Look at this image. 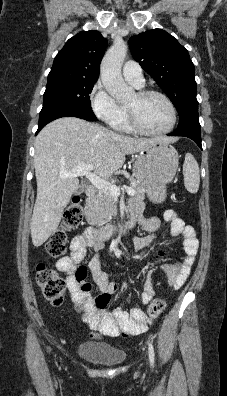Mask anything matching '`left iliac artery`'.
<instances>
[{
	"mask_svg": "<svg viewBox=\"0 0 227 396\" xmlns=\"http://www.w3.org/2000/svg\"><path fill=\"white\" fill-rule=\"evenodd\" d=\"M148 351H149V360H150V365L152 367H154V357H155V353H154V348L153 345L151 343H149V347H148Z\"/></svg>",
	"mask_w": 227,
	"mask_h": 396,
	"instance_id": "44dca946",
	"label": "left iliac artery"
}]
</instances>
